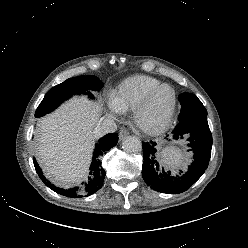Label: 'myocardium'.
<instances>
[{
  "label": "myocardium",
  "mask_w": 248,
  "mask_h": 248,
  "mask_svg": "<svg viewBox=\"0 0 248 248\" xmlns=\"http://www.w3.org/2000/svg\"><path fill=\"white\" fill-rule=\"evenodd\" d=\"M162 89H169L172 93V104L167 114V117L160 124L152 125V126L146 125L141 121V116L148 107V105L150 104V102L152 101V99L154 98V96ZM176 107H177V93L175 89L168 84H161L158 87L152 89L132 110V120L136 128L139 129L140 131L150 135L159 134L165 131L166 129H168L172 124L176 112Z\"/></svg>",
  "instance_id": "f54148a6"
}]
</instances>
